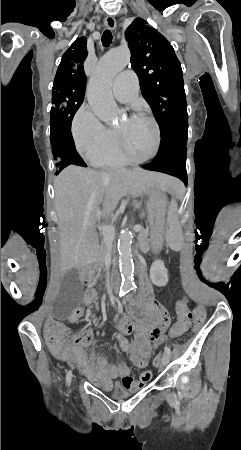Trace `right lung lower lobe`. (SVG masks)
I'll list each match as a JSON object with an SVG mask.
<instances>
[{"mask_svg": "<svg viewBox=\"0 0 241 450\" xmlns=\"http://www.w3.org/2000/svg\"><path fill=\"white\" fill-rule=\"evenodd\" d=\"M65 156H66V159L68 160L69 165L72 164V165H79V166H84V167L87 166L85 164V162L83 161V159L80 157V155L77 153L74 142H73V144L67 145L65 147Z\"/></svg>", "mask_w": 241, "mask_h": 450, "instance_id": "right-lung-lower-lobe-1", "label": "right lung lower lobe"}]
</instances>
